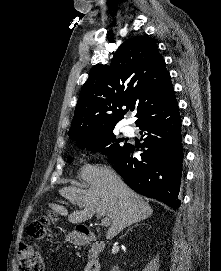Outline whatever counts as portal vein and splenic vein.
<instances>
[{
  "instance_id": "obj_1",
  "label": "portal vein and splenic vein",
  "mask_w": 221,
  "mask_h": 271,
  "mask_svg": "<svg viewBox=\"0 0 221 271\" xmlns=\"http://www.w3.org/2000/svg\"><path fill=\"white\" fill-rule=\"evenodd\" d=\"M98 217H103V219H101V225H105V227H108V225H111L110 217H107V215L106 217H104V215H98Z\"/></svg>"
}]
</instances>
